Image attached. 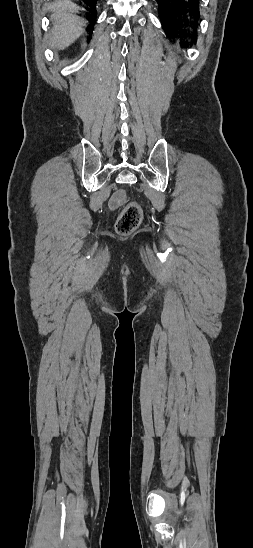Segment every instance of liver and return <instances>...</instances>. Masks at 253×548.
Wrapping results in <instances>:
<instances>
[{"mask_svg": "<svg viewBox=\"0 0 253 548\" xmlns=\"http://www.w3.org/2000/svg\"><path fill=\"white\" fill-rule=\"evenodd\" d=\"M50 8L53 12L51 47L63 50L80 37L87 21L74 14L80 8L68 0H55Z\"/></svg>", "mask_w": 253, "mask_h": 548, "instance_id": "6515ba94", "label": "liver"}]
</instances>
